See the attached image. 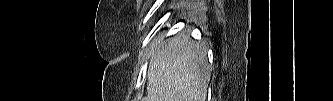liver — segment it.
Returning a JSON list of instances; mask_svg holds the SVG:
<instances>
[{"instance_id":"liver-1","label":"liver","mask_w":333,"mask_h":101,"mask_svg":"<svg viewBox=\"0 0 333 101\" xmlns=\"http://www.w3.org/2000/svg\"><path fill=\"white\" fill-rule=\"evenodd\" d=\"M211 65L207 48L179 34L155 44L145 101H206Z\"/></svg>"}]
</instances>
